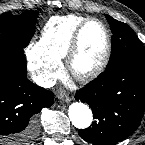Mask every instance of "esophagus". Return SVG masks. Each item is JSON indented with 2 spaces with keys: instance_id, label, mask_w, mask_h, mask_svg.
<instances>
[{
  "instance_id": "esophagus-1",
  "label": "esophagus",
  "mask_w": 145,
  "mask_h": 145,
  "mask_svg": "<svg viewBox=\"0 0 145 145\" xmlns=\"http://www.w3.org/2000/svg\"><path fill=\"white\" fill-rule=\"evenodd\" d=\"M58 98L61 99L63 102H70L72 100L71 97L63 92L59 93Z\"/></svg>"
}]
</instances>
